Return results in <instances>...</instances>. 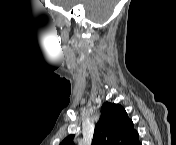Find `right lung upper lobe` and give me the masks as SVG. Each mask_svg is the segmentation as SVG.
<instances>
[{"instance_id": "cb5924a9", "label": "right lung upper lobe", "mask_w": 176, "mask_h": 145, "mask_svg": "<svg viewBox=\"0 0 176 145\" xmlns=\"http://www.w3.org/2000/svg\"><path fill=\"white\" fill-rule=\"evenodd\" d=\"M74 135L66 137L61 145H74ZM138 133L125 109L115 103L106 102L95 126L92 145H138Z\"/></svg>"}]
</instances>
